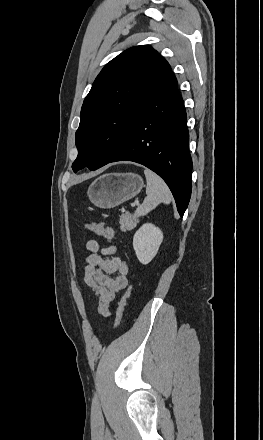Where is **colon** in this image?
Masks as SVG:
<instances>
[{
    "label": "colon",
    "mask_w": 263,
    "mask_h": 440,
    "mask_svg": "<svg viewBox=\"0 0 263 440\" xmlns=\"http://www.w3.org/2000/svg\"><path fill=\"white\" fill-rule=\"evenodd\" d=\"M85 227L90 230L91 232L111 241L115 239L114 234L104 225L97 223V222H88L85 224ZM130 290H127L125 294L122 296L120 303H119V317L117 326L120 324V322L124 318L126 305L129 299Z\"/></svg>",
    "instance_id": "1"
}]
</instances>
